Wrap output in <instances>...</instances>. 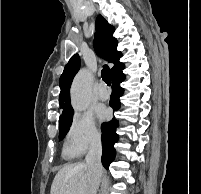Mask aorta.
<instances>
[{
    "label": "aorta",
    "mask_w": 201,
    "mask_h": 194,
    "mask_svg": "<svg viewBox=\"0 0 201 194\" xmlns=\"http://www.w3.org/2000/svg\"><path fill=\"white\" fill-rule=\"evenodd\" d=\"M92 74L87 69H81L75 76L71 89V104L74 110L84 111L91 100Z\"/></svg>",
    "instance_id": "762f6f07"
}]
</instances>
